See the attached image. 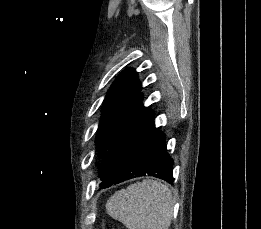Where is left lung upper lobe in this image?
<instances>
[{"mask_svg":"<svg viewBox=\"0 0 261 229\" xmlns=\"http://www.w3.org/2000/svg\"><path fill=\"white\" fill-rule=\"evenodd\" d=\"M140 82L132 69L122 72L110 87L102 106V119L96 137L99 157L139 117L145 107L141 104Z\"/></svg>","mask_w":261,"mask_h":229,"instance_id":"1","label":"left lung upper lobe"}]
</instances>
